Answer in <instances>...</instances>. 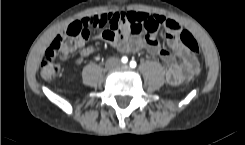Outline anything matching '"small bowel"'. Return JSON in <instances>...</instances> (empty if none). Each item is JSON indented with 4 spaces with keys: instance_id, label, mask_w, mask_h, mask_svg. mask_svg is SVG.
I'll return each instance as SVG.
<instances>
[{
    "instance_id": "1",
    "label": "small bowel",
    "mask_w": 245,
    "mask_h": 145,
    "mask_svg": "<svg viewBox=\"0 0 245 145\" xmlns=\"http://www.w3.org/2000/svg\"><path fill=\"white\" fill-rule=\"evenodd\" d=\"M102 16L104 24L96 27L102 30L100 33L91 34V40H105L124 53L144 48L149 54L159 56L166 64V79L172 85L181 84L187 78L199 72L200 66L195 55L184 46L177 31L168 29L165 23L163 27L168 29L165 33V42L173 54L170 50L160 46L159 40L154 32L145 31V35L140 37L130 38L128 36L127 26L130 22H137L144 27L147 26L150 17L160 15L141 11H120L107 13ZM164 18L169 19L167 17ZM97 19L101 23V19ZM118 31L120 34L117 33ZM80 47L82 52L78 53L74 58L75 63H81L93 53L92 47L85 46L84 41L81 42Z\"/></svg>"
}]
</instances>
